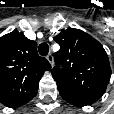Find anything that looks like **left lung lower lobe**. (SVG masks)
<instances>
[{
  "mask_svg": "<svg viewBox=\"0 0 114 114\" xmlns=\"http://www.w3.org/2000/svg\"><path fill=\"white\" fill-rule=\"evenodd\" d=\"M59 92L64 100L78 107L90 105L96 101L95 99L82 96V95H77V94H73V93H69L61 90H59Z\"/></svg>",
  "mask_w": 114,
  "mask_h": 114,
  "instance_id": "0a47b994",
  "label": "left lung lower lobe"
}]
</instances>
